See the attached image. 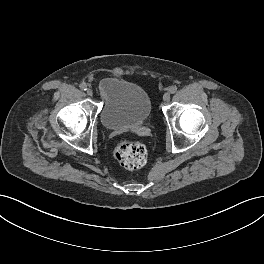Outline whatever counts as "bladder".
<instances>
[{"label": "bladder", "instance_id": "bladder-1", "mask_svg": "<svg viewBox=\"0 0 264 264\" xmlns=\"http://www.w3.org/2000/svg\"><path fill=\"white\" fill-rule=\"evenodd\" d=\"M99 93L102 99L101 121L110 130L139 126L151 114V98L140 85L108 78L100 83Z\"/></svg>", "mask_w": 264, "mask_h": 264}]
</instances>
